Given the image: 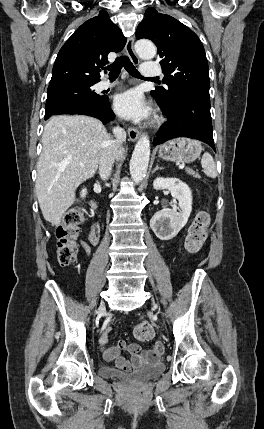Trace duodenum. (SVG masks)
I'll list each match as a JSON object with an SVG mask.
<instances>
[{
  "mask_svg": "<svg viewBox=\"0 0 264 429\" xmlns=\"http://www.w3.org/2000/svg\"><path fill=\"white\" fill-rule=\"evenodd\" d=\"M91 206L94 209H96L98 207L97 202L94 199L91 200Z\"/></svg>",
  "mask_w": 264,
  "mask_h": 429,
  "instance_id": "duodenum-1",
  "label": "duodenum"
}]
</instances>
